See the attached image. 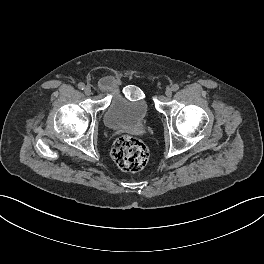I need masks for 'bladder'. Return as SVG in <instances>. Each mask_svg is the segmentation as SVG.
Returning <instances> with one entry per match:
<instances>
[{
  "label": "bladder",
  "mask_w": 264,
  "mask_h": 264,
  "mask_svg": "<svg viewBox=\"0 0 264 264\" xmlns=\"http://www.w3.org/2000/svg\"><path fill=\"white\" fill-rule=\"evenodd\" d=\"M110 86V101L103 113L105 126L117 130L142 124L150 113L148 98L145 95L126 97L120 82H112Z\"/></svg>",
  "instance_id": "bladder-1"
}]
</instances>
